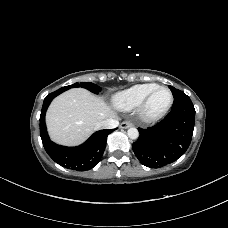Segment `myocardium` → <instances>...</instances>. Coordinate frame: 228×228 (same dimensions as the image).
<instances>
[{
	"mask_svg": "<svg viewBox=\"0 0 228 228\" xmlns=\"http://www.w3.org/2000/svg\"><path fill=\"white\" fill-rule=\"evenodd\" d=\"M160 89H165L169 92L170 94V102L167 105V107L161 111L158 114L155 115H151L147 112V106L148 103L150 101V99L152 98V96L155 94L156 91L160 90ZM174 102V96L172 91L167 87V86H162L159 85L156 88H154L152 91H150L147 96L143 99V101L141 102V104L138 107V117L140 119L141 122L146 123V124H150V123H154L159 121L160 119H162L163 117H165L168 112L170 111L172 105Z\"/></svg>",
	"mask_w": 228,
	"mask_h": 228,
	"instance_id": "obj_1",
	"label": "myocardium"
}]
</instances>
